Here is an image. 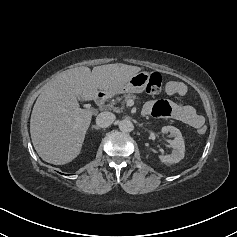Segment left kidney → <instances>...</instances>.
Segmentation results:
<instances>
[{
	"instance_id": "5707ae66",
	"label": "left kidney",
	"mask_w": 237,
	"mask_h": 237,
	"mask_svg": "<svg viewBox=\"0 0 237 237\" xmlns=\"http://www.w3.org/2000/svg\"><path fill=\"white\" fill-rule=\"evenodd\" d=\"M161 132L163 134L170 133V136L174 137V139L168 140L170 147L173 148L172 154L160 155L159 159L163 163H178L185 155V144L180 130L174 126H164Z\"/></svg>"
}]
</instances>
